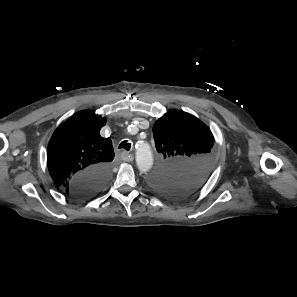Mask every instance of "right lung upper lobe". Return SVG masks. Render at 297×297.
<instances>
[{
	"label": "right lung upper lobe",
	"instance_id": "cb5924a9",
	"mask_svg": "<svg viewBox=\"0 0 297 297\" xmlns=\"http://www.w3.org/2000/svg\"><path fill=\"white\" fill-rule=\"evenodd\" d=\"M105 124V118L84 110L56 129L48 145L47 165L58 186L67 190L75 175L95 166L111 165V139L99 134Z\"/></svg>",
	"mask_w": 297,
	"mask_h": 297
}]
</instances>
